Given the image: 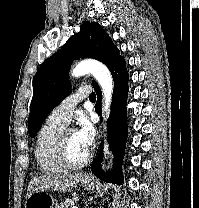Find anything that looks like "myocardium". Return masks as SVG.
Returning <instances> with one entry per match:
<instances>
[{"mask_svg": "<svg viewBox=\"0 0 199 208\" xmlns=\"http://www.w3.org/2000/svg\"><path fill=\"white\" fill-rule=\"evenodd\" d=\"M71 131L73 130L64 129L59 135L55 145V158L64 169L75 170L84 167L90 161L92 157V152L89 151L87 156L81 161H71L67 153L68 134Z\"/></svg>", "mask_w": 199, "mask_h": 208, "instance_id": "myocardium-1", "label": "myocardium"}]
</instances>
